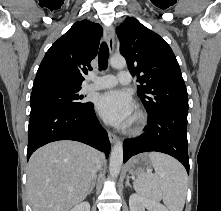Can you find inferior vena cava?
Here are the masks:
<instances>
[{
    "label": "inferior vena cava",
    "mask_w": 221,
    "mask_h": 211,
    "mask_svg": "<svg viewBox=\"0 0 221 211\" xmlns=\"http://www.w3.org/2000/svg\"><path fill=\"white\" fill-rule=\"evenodd\" d=\"M96 154L99 156L100 155V153H98L97 151H96ZM100 168V163L99 162H97V164H96V166H95V170H94V177H95V174H96V172H97V170Z\"/></svg>",
    "instance_id": "obj_1"
}]
</instances>
